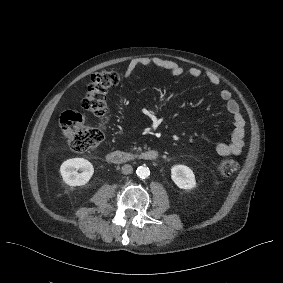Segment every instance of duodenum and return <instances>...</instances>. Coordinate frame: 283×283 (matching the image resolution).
<instances>
[{"label": "duodenum", "mask_w": 283, "mask_h": 283, "mask_svg": "<svg viewBox=\"0 0 283 283\" xmlns=\"http://www.w3.org/2000/svg\"><path fill=\"white\" fill-rule=\"evenodd\" d=\"M159 154L155 150H145L140 153L126 152V151H112L106 155L108 162L113 164H124L132 161H155Z\"/></svg>", "instance_id": "1"}]
</instances>
